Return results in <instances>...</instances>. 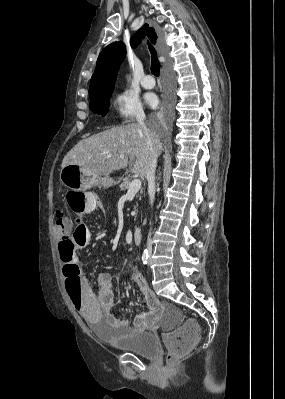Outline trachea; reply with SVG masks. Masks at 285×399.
I'll return each mask as SVG.
<instances>
[{
    "instance_id": "3493384b",
    "label": "trachea",
    "mask_w": 285,
    "mask_h": 399,
    "mask_svg": "<svg viewBox=\"0 0 285 399\" xmlns=\"http://www.w3.org/2000/svg\"><path fill=\"white\" fill-rule=\"evenodd\" d=\"M149 50L151 52V72L153 75L155 76H159V72H160V63L159 60L157 58V54L155 49L151 46V44L148 45Z\"/></svg>"
}]
</instances>
